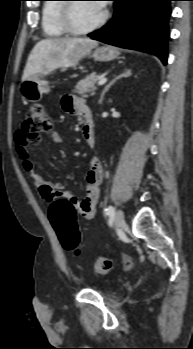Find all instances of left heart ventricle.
<instances>
[{"label": "left heart ventricle", "mask_w": 193, "mask_h": 349, "mask_svg": "<svg viewBox=\"0 0 193 349\" xmlns=\"http://www.w3.org/2000/svg\"><path fill=\"white\" fill-rule=\"evenodd\" d=\"M102 14L103 9L95 3H76L72 8L73 24L78 29L89 27L94 24Z\"/></svg>", "instance_id": "left-heart-ventricle-1"}]
</instances>
